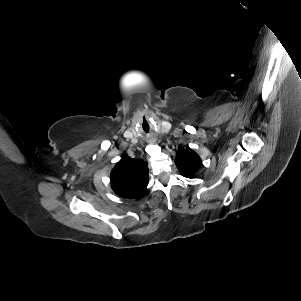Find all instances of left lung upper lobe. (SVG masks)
Returning a JSON list of instances; mask_svg holds the SVG:
<instances>
[{"label":"left lung upper lobe","instance_id":"left-lung-upper-lobe-1","mask_svg":"<svg viewBox=\"0 0 301 301\" xmlns=\"http://www.w3.org/2000/svg\"><path fill=\"white\" fill-rule=\"evenodd\" d=\"M175 164L184 177L194 178L202 161L198 154L188 147L176 155Z\"/></svg>","mask_w":301,"mask_h":301}]
</instances>
